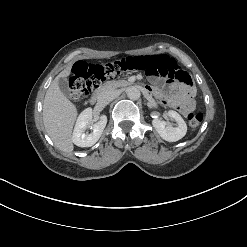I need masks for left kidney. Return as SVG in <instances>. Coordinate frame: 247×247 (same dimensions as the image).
Segmentation results:
<instances>
[{"label": "left kidney", "mask_w": 247, "mask_h": 247, "mask_svg": "<svg viewBox=\"0 0 247 247\" xmlns=\"http://www.w3.org/2000/svg\"><path fill=\"white\" fill-rule=\"evenodd\" d=\"M168 116L176 121L177 126L166 125V122L161 119H154L152 125L162 139L168 142H175L186 135L187 125L176 111L169 110Z\"/></svg>", "instance_id": "1"}]
</instances>
